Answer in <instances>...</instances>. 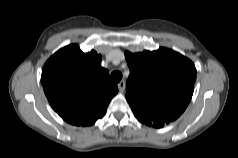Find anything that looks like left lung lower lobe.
<instances>
[{
    "instance_id": "left-lung-lower-lobe-1",
    "label": "left lung lower lobe",
    "mask_w": 238,
    "mask_h": 158,
    "mask_svg": "<svg viewBox=\"0 0 238 158\" xmlns=\"http://www.w3.org/2000/svg\"><path fill=\"white\" fill-rule=\"evenodd\" d=\"M137 119L140 122H142V123H146L149 126H153V127H156V128L163 127L165 124H168V123L171 122V121H166V122H162V121H149V120H145V119H142V118H137Z\"/></svg>"
}]
</instances>
